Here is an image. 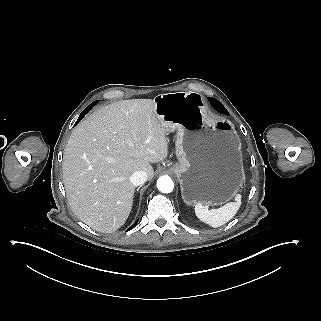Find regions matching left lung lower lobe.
Returning <instances> with one entry per match:
<instances>
[{
    "instance_id": "left-lung-lower-lobe-1",
    "label": "left lung lower lobe",
    "mask_w": 321,
    "mask_h": 321,
    "mask_svg": "<svg viewBox=\"0 0 321 321\" xmlns=\"http://www.w3.org/2000/svg\"><path fill=\"white\" fill-rule=\"evenodd\" d=\"M211 101V100H210ZM211 103L214 105V103L211 101ZM214 107H216L215 105H214Z\"/></svg>"
}]
</instances>
